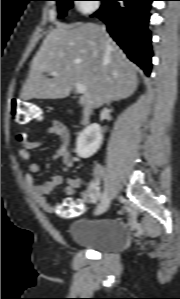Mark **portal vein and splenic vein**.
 Returning <instances> with one entry per match:
<instances>
[{"instance_id": "1", "label": "portal vein and splenic vein", "mask_w": 180, "mask_h": 299, "mask_svg": "<svg viewBox=\"0 0 180 299\" xmlns=\"http://www.w3.org/2000/svg\"><path fill=\"white\" fill-rule=\"evenodd\" d=\"M51 75L53 77H57L59 74H58V72H52ZM74 86H75L76 92L79 94H84L87 91V88L81 83L75 82Z\"/></svg>"}]
</instances>
